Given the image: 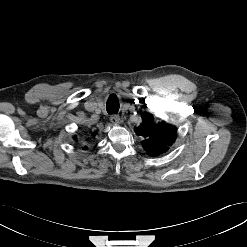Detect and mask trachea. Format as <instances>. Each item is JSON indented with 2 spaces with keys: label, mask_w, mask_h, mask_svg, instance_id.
<instances>
[{
  "label": "trachea",
  "mask_w": 247,
  "mask_h": 247,
  "mask_svg": "<svg viewBox=\"0 0 247 247\" xmlns=\"http://www.w3.org/2000/svg\"><path fill=\"white\" fill-rule=\"evenodd\" d=\"M106 110L109 114L117 113L119 111V101L116 96L111 95L107 100Z\"/></svg>",
  "instance_id": "trachea-1"
}]
</instances>
